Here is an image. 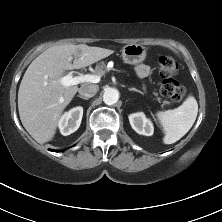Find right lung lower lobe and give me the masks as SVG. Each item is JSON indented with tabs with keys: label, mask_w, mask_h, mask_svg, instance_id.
<instances>
[{
	"label": "right lung lower lobe",
	"mask_w": 222,
	"mask_h": 222,
	"mask_svg": "<svg viewBox=\"0 0 222 222\" xmlns=\"http://www.w3.org/2000/svg\"><path fill=\"white\" fill-rule=\"evenodd\" d=\"M50 151H54V152H56L57 150H52V149H50Z\"/></svg>",
	"instance_id": "right-lung-lower-lobe-1"
}]
</instances>
